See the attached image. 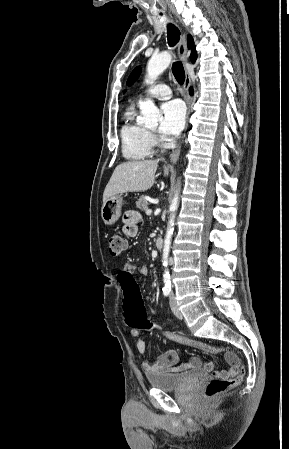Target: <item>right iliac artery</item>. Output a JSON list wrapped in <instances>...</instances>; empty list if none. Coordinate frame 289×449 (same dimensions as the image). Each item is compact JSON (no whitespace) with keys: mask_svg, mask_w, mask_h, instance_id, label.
I'll use <instances>...</instances> for the list:
<instances>
[{"mask_svg":"<svg viewBox=\"0 0 289 449\" xmlns=\"http://www.w3.org/2000/svg\"><path fill=\"white\" fill-rule=\"evenodd\" d=\"M170 291H171L170 289L164 288L163 289L164 296H168L170 294Z\"/></svg>","mask_w":289,"mask_h":449,"instance_id":"82829eb1","label":"right iliac artery"}]
</instances>
